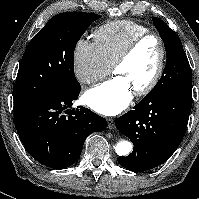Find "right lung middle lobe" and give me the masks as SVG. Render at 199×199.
I'll return each instance as SVG.
<instances>
[{
  "label": "right lung middle lobe",
  "mask_w": 199,
  "mask_h": 199,
  "mask_svg": "<svg viewBox=\"0 0 199 199\" xmlns=\"http://www.w3.org/2000/svg\"><path fill=\"white\" fill-rule=\"evenodd\" d=\"M100 15L66 12L53 16L34 36L22 57L14 86V113L81 86L74 74L76 43Z\"/></svg>",
  "instance_id": "dd1d6c3e"
}]
</instances>
